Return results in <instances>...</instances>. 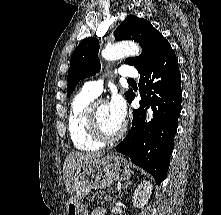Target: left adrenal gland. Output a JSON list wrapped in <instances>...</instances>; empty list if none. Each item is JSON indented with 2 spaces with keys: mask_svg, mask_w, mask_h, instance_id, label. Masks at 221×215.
<instances>
[{
  "mask_svg": "<svg viewBox=\"0 0 221 215\" xmlns=\"http://www.w3.org/2000/svg\"><path fill=\"white\" fill-rule=\"evenodd\" d=\"M132 184L131 181H127L123 186H122V189L125 190L128 186H130ZM121 193V191H119V194ZM116 198L118 196H115ZM112 201L114 202L115 201V198L112 199Z\"/></svg>",
  "mask_w": 221,
  "mask_h": 215,
  "instance_id": "a2214340",
  "label": "left adrenal gland"
}]
</instances>
